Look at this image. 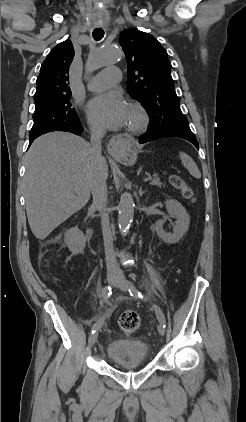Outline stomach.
Here are the masks:
<instances>
[{
  "mask_svg": "<svg viewBox=\"0 0 246 422\" xmlns=\"http://www.w3.org/2000/svg\"><path fill=\"white\" fill-rule=\"evenodd\" d=\"M137 154V149L130 145L123 150V152L119 156V159L124 164L133 165L137 160Z\"/></svg>",
  "mask_w": 246,
  "mask_h": 422,
  "instance_id": "stomach-1",
  "label": "stomach"
}]
</instances>
